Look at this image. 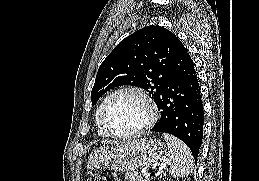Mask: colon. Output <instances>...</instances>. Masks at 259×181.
Instances as JSON below:
<instances>
[{"label":"colon","mask_w":259,"mask_h":181,"mask_svg":"<svg viewBox=\"0 0 259 181\" xmlns=\"http://www.w3.org/2000/svg\"><path fill=\"white\" fill-rule=\"evenodd\" d=\"M89 181H107V180L100 174H94L90 177Z\"/></svg>","instance_id":"obj_1"}]
</instances>
